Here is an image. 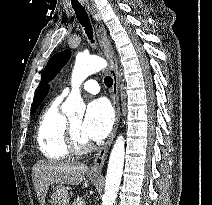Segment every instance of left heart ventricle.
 I'll return each mask as SVG.
<instances>
[{"mask_svg":"<svg viewBox=\"0 0 212 205\" xmlns=\"http://www.w3.org/2000/svg\"><path fill=\"white\" fill-rule=\"evenodd\" d=\"M81 124H82V119L81 118H76L71 120V125L73 127V129L75 130V132L77 133V135L83 139L86 140L83 135L81 134Z\"/></svg>","mask_w":212,"mask_h":205,"instance_id":"left-heart-ventricle-1","label":"left heart ventricle"}]
</instances>
